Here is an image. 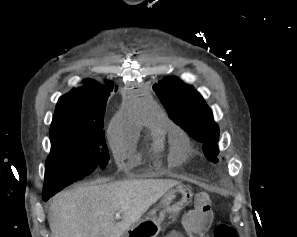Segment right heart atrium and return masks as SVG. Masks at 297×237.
<instances>
[{
    "mask_svg": "<svg viewBox=\"0 0 297 237\" xmlns=\"http://www.w3.org/2000/svg\"><path fill=\"white\" fill-rule=\"evenodd\" d=\"M111 136H113V132H110Z\"/></svg>",
    "mask_w": 297,
    "mask_h": 237,
    "instance_id": "obj_1",
    "label": "right heart atrium"
}]
</instances>
